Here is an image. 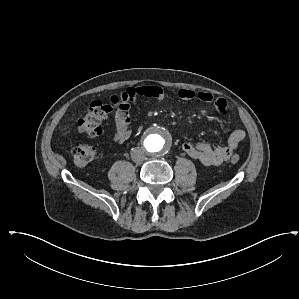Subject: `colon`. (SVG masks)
Masks as SVG:
<instances>
[{
  "instance_id": "obj_1",
  "label": "colon",
  "mask_w": 299,
  "mask_h": 299,
  "mask_svg": "<svg viewBox=\"0 0 299 299\" xmlns=\"http://www.w3.org/2000/svg\"><path fill=\"white\" fill-rule=\"evenodd\" d=\"M111 106L101 101L90 104L88 111L78 120L80 132L90 136L98 137L102 133L101 122L111 112ZM96 157V149L91 144H81L73 150V160L76 166L84 167L91 163ZM240 157L237 154L231 156V163H238Z\"/></svg>"
}]
</instances>
